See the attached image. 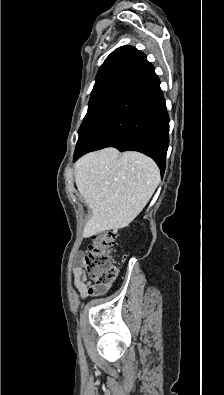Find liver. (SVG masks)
Instances as JSON below:
<instances>
[{
  "instance_id": "obj_1",
  "label": "liver",
  "mask_w": 224,
  "mask_h": 395,
  "mask_svg": "<svg viewBox=\"0 0 224 395\" xmlns=\"http://www.w3.org/2000/svg\"><path fill=\"white\" fill-rule=\"evenodd\" d=\"M78 191L90 209L83 237L128 226L144 209L160 182L156 163L142 153L106 148L75 164Z\"/></svg>"
}]
</instances>
